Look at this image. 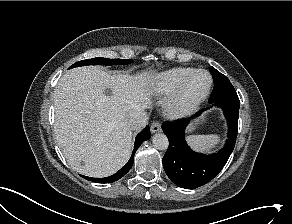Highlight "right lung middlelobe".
Segmentation results:
<instances>
[{"mask_svg": "<svg viewBox=\"0 0 292 224\" xmlns=\"http://www.w3.org/2000/svg\"><path fill=\"white\" fill-rule=\"evenodd\" d=\"M131 60L127 59H108V58H92L87 60H82L73 64L70 68L85 66V65H116V64H129Z\"/></svg>", "mask_w": 292, "mask_h": 224, "instance_id": "right-lung-middle-lobe-1", "label": "right lung middle lobe"}]
</instances>
